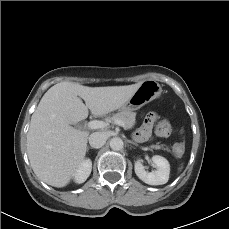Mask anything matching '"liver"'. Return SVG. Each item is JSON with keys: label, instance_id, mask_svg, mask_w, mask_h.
Returning a JSON list of instances; mask_svg holds the SVG:
<instances>
[{"label": "liver", "instance_id": "6515ba94", "mask_svg": "<svg viewBox=\"0 0 229 229\" xmlns=\"http://www.w3.org/2000/svg\"><path fill=\"white\" fill-rule=\"evenodd\" d=\"M141 83L88 87L60 82L52 86L33 113L27 133V153L36 176L58 188L69 184L84 161L89 136L71 125L86 119L88 109L94 116H104L121 108Z\"/></svg>", "mask_w": 229, "mask_h": 229}]
</instances>
